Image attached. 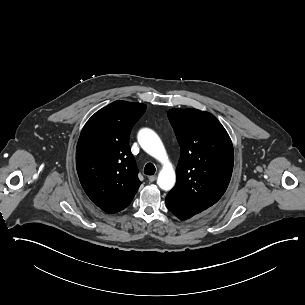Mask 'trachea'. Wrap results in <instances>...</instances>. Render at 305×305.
Listing matches in <instances>:
<instances>
[{
  "label": "trachea",
  "instance_id": "obj_1",
  "mask_svg": "<svg viewBox=\"0 0 305 305\" xmlns=\"http://www.w3.org/2000/svg\"><path fill=\"white\" fill-rule=\"evenodd\" d=\"M156 171L155 166L152 163H147L144 168V173L146 175H154Z\"/></svg>",
  "mask_w": 305,
  "mask_h": 305
}]
</instances>
